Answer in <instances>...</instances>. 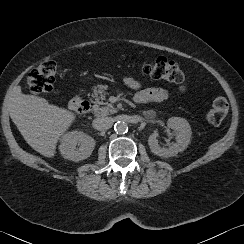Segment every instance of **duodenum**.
Segmentation results:
<instances>
[{
	"mask_svg": "<svg viewBox=\"0 0 244 244\" xmlns=\"http://www.w3.org/2000/svg\"><path fill=\"white\" fill-rule=\"evenodd\" d=\"M69 109L72 110L73 112L76 111H82V112H86L89 111L92 107V105L90 104V102L88 101H84L81 97L79 96H75L74 98H72L69 101Z\"/></svg>",
	"mask_w": 244,
	"mask_h": 244,
	"instance_id": "410a0bca",
	"label": "duodenum"
}]
</instances>
